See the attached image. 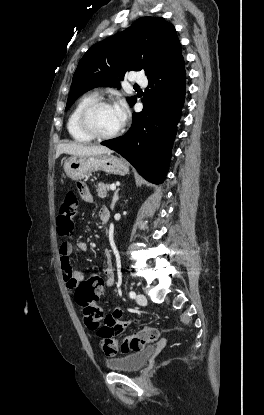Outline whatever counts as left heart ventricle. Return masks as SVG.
Returning a JSON list of instances; mask_svg holds the SVG:
<instances>
[{
	"label": "left heart ventricle",
	"instance_id": "b2bd125f",
	"mask_svg": "<svg viewBox=\"0 0 264 415\" xmlns=\"http://www.w3.org/2000/svg\"><path fill=\"white\" fill-rule=\"evenodd\" d=\"M122 119L115 106H104L91 116V123L100 134H111L122 124Z\"/></svg>",
	"mask_w": 264,
	"mask_h": 415
}]
</instances>
